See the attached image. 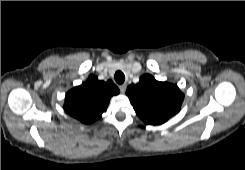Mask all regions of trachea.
<instances>
[{"instance_id": "trachea-1", "label": "trachea", "mask_w": 245, "mask_h": 170, "mask_svg": "<svg viewBox=\"0 0 245 170\" xmlns=\"http://www.w3.org/2000/svg\"><path fill=\"white\" fill-rule=\"evenodd\" d=\"M114 79L118 84H122L125 80V75L121 71L115 72Z\"/></svg>"}]
</instances>
